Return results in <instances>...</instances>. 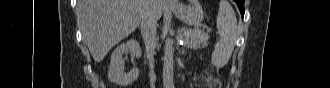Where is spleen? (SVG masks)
<instances>
[{
  "instance_id": "3e777b00",
  "label": "spleen",
  "mask_w": 330,
  "mask_h": 88,
  "mask_svg": "<svg viewBox=\"0 0 330 88\" xmlns=\"http://www.w3.org/2000/svg\"><path fill=\"white\" fill-rule=\"evenodd\" d=\"M217 29L220 40L212 53V63L220 68L229 61L235 43L239 38L235 12L227 0H221L219 3Z\"/></svg>"
}]
</instances>
